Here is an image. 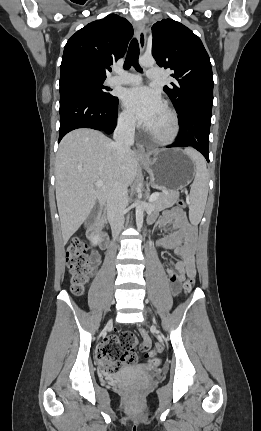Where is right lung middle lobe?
Wrapping results in <instances>:
<instances>
[{"label": "right lung middle lobe", "mask_w": 261, "mask_h": 431, "mask_svg": "<svg viewBox=\"0 0 261 431\" xmlns=\"http://www.w3.org/2000/svg\"><path fill=\"white\" fill-rule=\"evenodd\" d=\"M105 78L85 71H70L60 75V89L73 88L86 90L100 100H110L114 96L108 93L109 89L103 86Z\"/></svg>", "instance_id": "dd1d6c3e"}]
</instances>
